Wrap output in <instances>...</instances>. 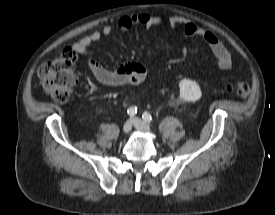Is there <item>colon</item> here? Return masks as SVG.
<instances>
[{"label":"colon","instance_id":"1","mask_svg":"<svg viewBox=\"0 0 275 215\" xmlns=\"http://www.w3.org/2000/svg\"><path fill=\"white\" fill-rule=\"evenodd\" d=\"M76 61V52L66 48L58 58L44 63L39 69L44 92L56 102H67L77 84ZM228 91L243 98L249 95L250 87L245 82H234L228 86Z\"/></svg>","mask_w":275,"mask_h":215}]
</instances>
